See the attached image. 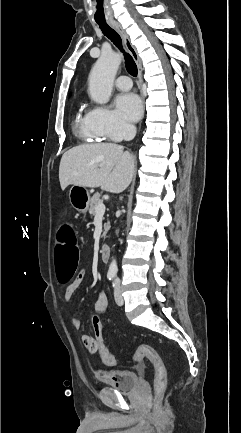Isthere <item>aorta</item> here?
Masks as SVG:
<instances>
[{
  "mask_svg": "<svg viewBox=\"0 0 241 433\" xmlns=\"http://www.w3.org/2000/svg\"><path fill=\"white\" fill-rule=\"evenodd\" d=\"M122 57L119 53H102L96 61L89 76V94L93 101L105 104L109 101L113 82L120 66ZM118 271L116 259L113 258L108 274L115 276Z\"/></svg>",
  "mask_w": 241,
  "mask_h": 433,
  "instance_id": "762f6f07",
  "label": "aorta"
}]
</instances>
